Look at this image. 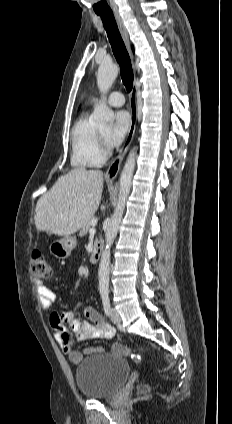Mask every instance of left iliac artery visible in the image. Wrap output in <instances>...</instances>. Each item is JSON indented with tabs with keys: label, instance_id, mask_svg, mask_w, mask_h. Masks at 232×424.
Instances as JSON below:
<instances>
[{
	"label": "left iliac artery",
	"instance_id": "obj_1",
	"mask_svg": "<svg viewBox=\"0 0 232 424\" xmlns=\"http://www.w3.org/2000/svg\"><path fill=\"white\" fill-rule=\"evenodd\" d=\"M101 298H102L104 312L106 315H109L111 311V307H110V299H109L108 293H102Z\"/></svg>",
	"mask_w": 232,
	"mask_h": 424
}]
</instances>
